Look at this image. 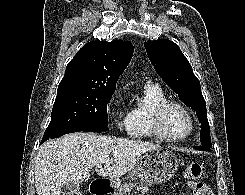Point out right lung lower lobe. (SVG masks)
I'll use <instances>...</instances> for the list:
<instances>
[{
	"label": "right lung lower lobe",
	"mask_w": 245,
	"mask_h": 195,
	"mask_svg": "<svg viewBox=\"0 0 245 195\" xmlns=\"http://www.w3.org/2000/svg\"><path fill=\"white\" fill-rule=\"evenodd\" d=\"M107 130H109V128L104 125H89L76 129L73 132H79V131L100 132V131H107Z\"/></svg>",
	"instance_id": "obj_1"
}]
</instances>
